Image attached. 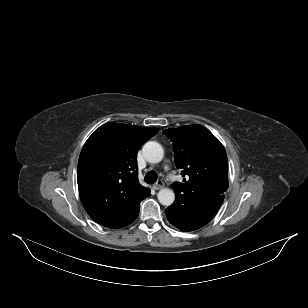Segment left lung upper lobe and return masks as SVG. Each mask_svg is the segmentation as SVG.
<instances>
[{
    "label": "left lung upper lobe",
    "mask_w": 308,
    "mask_h": 308,
    "mask_svg": "<svg viewBox=\"0 0 308 308\" xmlns=\"http://www.w3.org/2000/svg\"><path fill=\"white\" fill-rule=\"evenodd\" d=\"M184 183L172 184L173 206L184 210L223 196L228 188V162L221 142L201 125L166 129Z\"/></svg>",
    "instance_id": "1"
}]
</instances>
